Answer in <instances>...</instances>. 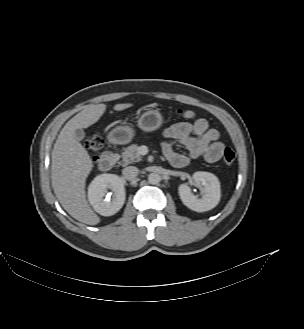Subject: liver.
I'll use <instances>...</instances> for the list:
<instances>
[{
  "label": "liver",
  "instance_id": "6515ba94",
  "mask_svg": "<svg viewBox=\"0 0 304 329\" xmlns=\"http://www.w3.org/2000/svg\"><path fill=\"white\" fill-rule=\"evenodd\" d=\"M132 103L116 104L122 111ZM106 110L105 104H93L72 117L60 131L52 150V187L62 207L76 220L96 225L100 218L89 206L85 195V182L93 168L86 149L76 140L75 131L95 124Z\"/></svg>",
  "mask_w": 304,
  "mask_h": 329
}]
</instances>
